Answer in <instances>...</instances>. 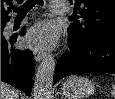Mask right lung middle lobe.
<instances>
[{"label":"right lung middle lobe","mask_w":115,"mask_h":99,"mask_svg":"<svg viewBox=\"0 0 115 99\" xmlns=\"http://www.w3.org/2000/svg\"><path fill=\"white\" fill-rule=\"evenodd\" d=\"M5 23H1V29L4 27Z\"/></svg>","instance_id":"dd1d6c3e"}]
</instances>
